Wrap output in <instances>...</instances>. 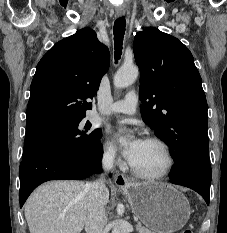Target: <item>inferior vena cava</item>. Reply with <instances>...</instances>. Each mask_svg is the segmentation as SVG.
<instances>
[{
    "label": "inferior vena cava",
    "instance_id": "602c4592",
    "mask_svg": "<svg viewBox=\"0 0 227 233\" xmlns=\"http://www.w3.org/2000/svg\"><path fill=\"white\" fill-rule=\"evenodd\" d=\"M114 155L106 154L103 156L102 165L105 171L113 168ZM105 180L101 175L95 182L88 183L87 190V219L85 222L86 233H102L106 216L103 206V191Z\"/></svg>",
    "mask_w": 227,
    "mask_h": 233
}]
</instances>
